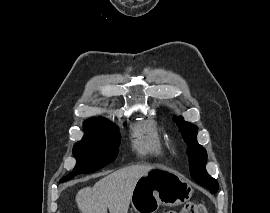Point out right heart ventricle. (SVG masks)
Instances as JSON below:
<instances>
[{
	"mask_svg": "<svg viewBox=\"0 0 270 213\" xmlns=\"http://www.w3.org/2000/svg\"><path fill=\"white\" fill-rule=\"evenodd\" d=\"M135 148L142 154L161 155L169 146V139L157 128L156 123L145 120L135 130Z\"/></svg>",
	"mask_w": 270,
	"mask_h": 213,
	"instance_id": "e07e8e85",
	"label": "right heart ventricle"
}]
</instances>
